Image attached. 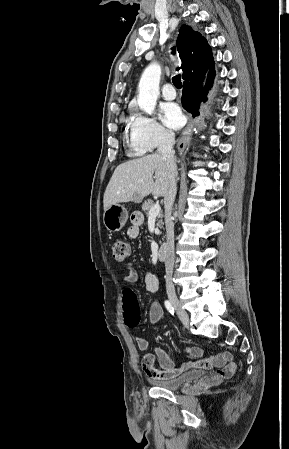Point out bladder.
Masks as SVG:
<instances>
[{"mask_svg":"<svg viewBox=\"0 0 289 449\" xmlns=\"http://www.w3.org/2000/svg\"><path fill=\"white\" fill-rule=\"evenodd\" d=\"M206 372L203 370H194L174 378H152L150 381L153 385L169 390L177 391L185 386L198 382L205 378Z\"/></svg>","mask_w":289,"mask_h":449,"instance_id":"31cf9c89","label":"bladder"}]
</instances>
